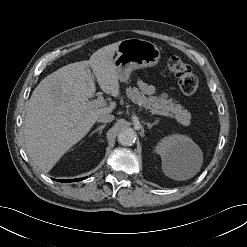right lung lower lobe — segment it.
Listing matches in <instances>:
<instances>
[{
  "mask_svg": "<svg viewBox=\"0 0 247 247\" xmlns=\"http://www.w3.org/2000/svg\"><path fill=\"white\" fill-rule=\"evenodd\" d=\"M83 179H85V177L79 178V179H74V180H59V181H61V182H73V181H79V180H83Z\"/></svg>",
  "mask_w": 247,
  "mask_h": 247,
  "instance_id": "98d812e1",
  "label": "right lung lower lobe"
}]
</instances>
